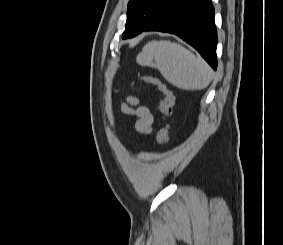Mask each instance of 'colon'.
<instances>
[{
	"label": "colon",
	"instance_id": "5ec220e1",
	"mask_svg": "<svg viewBox=\"0 0 283 245\" xmlns=\"http://www.w3.org/2000/svg\"><path fill=\"white\" fill-rule=\"evenodd\" d=\"M139 78L143 82L155 86L163 95L157 108L162 120V124L157 132V141L160 145H165L169 141V127L166 123V120L173 111L175 102L174 93L156 76H153L151 74H142L139 75Z\"/></svg>",
	"mask_w": 283,
	"mask_h": 245
}]
</instances>
